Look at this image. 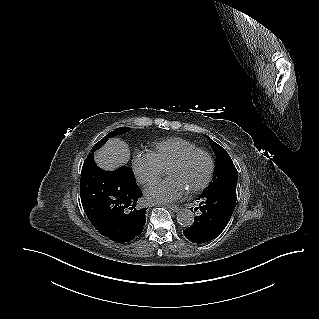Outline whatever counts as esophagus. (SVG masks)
Listing matches in <instances>:
<instances>
[{
	"mask_svg": "<svg viewBox=\"0 0 319 319\" xmlns=\"http://www.w3.org/2000/svg\"><path fill=\"white\" fill-rule=\"evenodd\" d=\"M167 207L173 212H178L180 210V208L176 205H167Z\"/></svg>",
	"mask_w": 319,
	"mask_h": 319,
	"instance_id": "1",
	"label": "esophagus"
}]
</instances>
